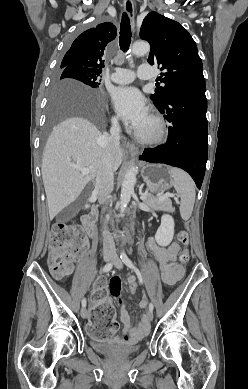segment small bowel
Masks as SVG:
<instances>
[{
    "mask_svg": "<svg viewBox=\"0 0 248 389\" xmlns=\"http://www.w3.org/2000/svg\"><path fill=\"white\" fill-rule=\"evenodd\" d=\"M147 247L159 264V273L162 281L167 285H174L180 281L183 277V270L175 264V257L180 250L179 244L172 243L168 247H161L153 238H150L147 242ZM130 281H136L135 276H129L126 279L127 286ZM110 282V285H107L106 287L107 292H110L111 296L121 303V284L119 274L117 272L112 274ZM146 304L147 301L142 300L139 307L145 308ZM120 320L124 326V341L137 342L148 333L146 318L143 317L137 325H134L132 323L131 315L124 305H121ZM110 332L113 333L115 330H111Z\"/></svg>",
    "mask_w": 248,
    "mask_h": 389,
    "instance_id": "obj_1",
    "label": "small bowel"
}]
</instances>
